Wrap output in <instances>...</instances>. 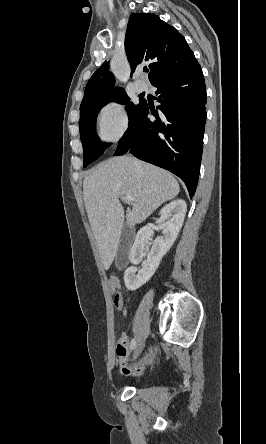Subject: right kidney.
<instances>
[{
    "label": "right kidney",
    "mask_w": 266,
    "mask_h": 444,
    "mask_svg": "<svg viewBox=\"0 0 266 444\" xmlns=\"http://www.w3.org/2000/svg\"><path fill=\"white\" fill-rule=\"evenodd\" d=\"M186 210L187 205L181 199L174 200L161 209L160 218L156 220V223L162 229L163 235L154 240L148 252L147 260L139 271L135 266L128 267L125 270L124 282L128 290L134 291L140 288L154 275L163 256L170 250L180 232ZM165 220L167 221L165 222ZM152 235L153 230L149 227H143L138 231L129 257L133 265L142 261L148 240Z\"/></svg>",
    "instance_id": "obj_1"
}]
</instances>
